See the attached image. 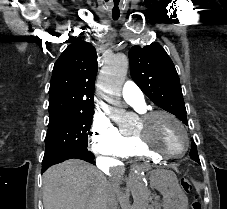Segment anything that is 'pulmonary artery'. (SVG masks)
<instances>
[{"mask_svg": "<svg viewBox=\"0 0 227 209\" xmlns=\"http://www.w3.org/2000/svg\"><path fill=\"white\" fill-rule=\"evenodd\" d=\"M122 96L125 101L139 107L143 108L145 103L144 99L141 95V89L138 88L137 84L132 81L128 80L122 89Z\"/></svg>", "mask_w": 227, "mask_h": 209, "instance_id": "obj_1", "label": "pulmonary artery"}]
</instances>
